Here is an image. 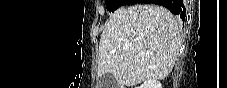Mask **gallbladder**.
Here are the masks:
<instances>
[{"label": "gallbladder", "instance_id": "1", "mask_svg": "<svg viewBox=\"0 0 227 88\" xmlns=\"http://www.w3.org/2000/svg\"><path fill=\"white\" fill-rule=\"evenodd\" d=\"M99 88H116L117 81L110 73L103 74L98 81Z\"/></svg>", "mask_w": 227, "mask_h": 88}]
</instances>
